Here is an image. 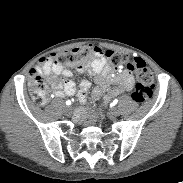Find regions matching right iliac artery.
<instances>
[{
  "instance_id": "obj_1",
  "label": "right iliac artery",
  "mask_w": 183,
  "mask_h": 183,
  "mask_svg": "<svg viewBox=\"0 0 183 183\" xmlns=\"http://www.w3.org/2000/svg\"><path fill=\"white\" fill-rule=\"evenodd\" d=\"M66 105H71V101L70 100H67L66 101Z\"/></svg>"
}]
</instances>
